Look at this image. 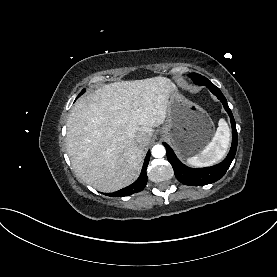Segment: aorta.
<instances>
[{
	"label": "aorta",
	"instance_id": "1",
	"mask_svg": "<svg viewBox=\"0 0 277 277\" xmlns=\"http://www.w3.org/2000/svg\"><path fill=\"white\" fill-rule=\"evenodd\" d=\"M166 154L165 147L163 145H155L152 148V155L155 158H162Z\"/></svg>",
	"mask_w": 277,
	"mask_h": 277
}]
</instances>
